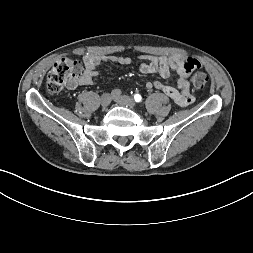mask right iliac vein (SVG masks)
<instances>
[{"mask_svg":"<svg viewBox=\"0 0 253 253\" xmlns=\"http://www.w3.org/2000/svg\"><path fill=\"white\" fill-rule=\"evenodd\" d=\"M112 97L109 93H105L100 98V104L102 107H107L111 103Z\"/></svg>","mask_w":253,"mask_h":253,"instance_id":"63e3f726","label":"right iliac vein"}]
</instances>
